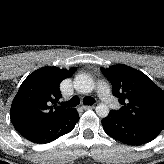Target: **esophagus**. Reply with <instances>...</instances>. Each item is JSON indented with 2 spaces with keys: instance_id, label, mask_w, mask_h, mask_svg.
Instances as JSON below:
<instances>
[{
  "instance_id": "esophagus-1",
  "label": "esophagus",
  "mask_w": 164,
  "mask_h": 164,
  "mask_svg": "<svg viewBox=\"0 0 164 164\" xmlns=\"http://www.w3.org/2000/svg\"><path fill=\"white\" fill-rule=\"evenodd\" d=\"M83 108L84 109H92V108H94V104H92V105H85V106H83Z\"/></svg>"
}]
</instances>
